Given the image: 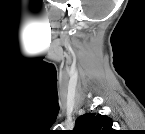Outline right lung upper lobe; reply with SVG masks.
Segmentation results:
<instances>
[{
  "instance_id": "1",
  "label": "right lung upper lobe",
  "mask_w": 145,
  "mask_h": 134,
  "mask_svg": "<svg viewBox=\"0 0 145 134\" xmlns=\"http://www.w3.org/2000/svg\"><path fill=\"white\" fill-rule=\"evenodd\" d=\"M113 121L106 115L86 113L77 118L74 134H115Z\"/></svg>"
}]
</instances>
